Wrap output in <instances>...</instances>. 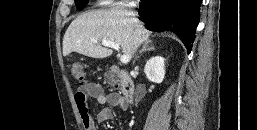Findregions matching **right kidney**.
Wrapping results in <instances>:
<instances>
[{
    "label": "right kidney",
    "mask_w": 257,
    "mask_h": 130,
    "mask_svg": "<svg viewBox=\"0 0 257 130\" xmlns=\"http://www.w3.org/2000/svg\"><path fill=\"white\" fill-rule=\"evenodd\" d=\"M165 59L161 56L150 58L144 68V72L151 82L161 83L165 76Z\"/></svg>",
    "instance_id": "1"
}]
</instances>
